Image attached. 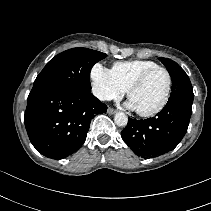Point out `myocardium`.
Wrapping results in <instances>:
<instances>
[{
    "instance_id": "f54148a6",
    "label": "myocardium",
    "mask_w": 211,
    "mask_h": 211,
    "mask_svg": "<svg viewBox=\"0 0 211 211\" xmlns=\"http://www.w3.org/2000/svg\"><path fill=\"white\" fill-rule=\"evenodd\" d=\"M156 71H163L166 76H167V89H166V93L165 96L162 100V102L154 109L149 110V111H138L136 110L137 114L141 117H152L157 115L158 113H160L165 106L167 105L170 95H171V90H172V76L171 73L169 72L168 69L158 66L152 69L147 70L146 72H144L141 76H139L128 88L127 90V97L130 100V97L132 95V93L137 90L138 88H140L145 81L148 79V77L150 75H152L153 73H155Z\"/></svg>"
}]
</instances>
